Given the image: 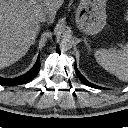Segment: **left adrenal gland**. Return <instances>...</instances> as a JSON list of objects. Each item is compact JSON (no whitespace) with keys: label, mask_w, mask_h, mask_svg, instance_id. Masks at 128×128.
Returning <instances> with one entry per match:
<instances>
[{"label":"left adrenal gland","mask_w":128,"mask_h":128,"mask_svg":"<svg viewBox=\"0 0 128 128\" xmlns=\"http://www.w3.org/2000/svg\"><path fill=\"white\" fill-rule=\"evenodd\" d=\"M84 43H85V45L88 47V49L91 51L90 45L88 44V42H87L86 39H84Z\"/></svg>","instance_id":"1"}]
</instances>
